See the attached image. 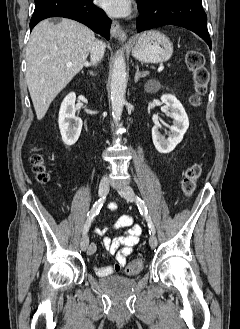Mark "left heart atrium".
I'll use <instances>...</instances> for the list:
<instances>
[{"instance_id":"left-heart-atrium-1","label":"left heart atrium","mask_w":240,"mask_h":329,"mask_svg":"<svg viewBox=\"0 0 240 329\" xmlns=\"http://www.w3.org/2000/svg\"><path fill=\"white\" fill-rule=\"evenodd\" d=\"M99 3L112 16H124L129 12V0H99Z\"/></svg>"}]
</instances>
